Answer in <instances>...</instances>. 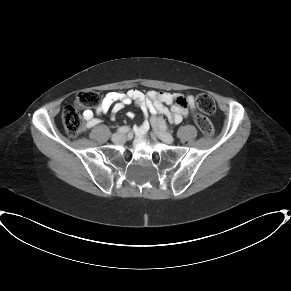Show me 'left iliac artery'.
Masks as SVG:
<instances>
[{
  "label": "left iliac artery",
  "mask_w": 291,
  "mask_h": 291,
  "mask_svg": "<svg viewBox=\"0 0 291 291\" xmlns=\"http://www.w3.org/2000/svg\"><path fill=\"white\" fill-rule=\"evenodd\" d=\"M161 128H166V124L165 123H162L161 124Z\"/></svg>",
  "instance_id": "left-iliac-artery-1"
}]
</instances>
